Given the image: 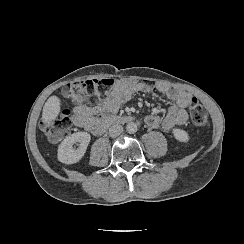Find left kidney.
I'll list each match as a JSON object with an SVG mask.
<instances>
[{
  "label": "left kidney",
  "instance_id": "left-kidney-1",
  "mask_svg": "<svg viewBox=\"0 0 244 244\" xmlns=\"http://www.w3.org/2000/svg\"><path fill=\"white\" fill-rule=\"evenodd\" d=\"M173 135L174 137L180 141V142H188L189 140V136H188V133L184 130H181V129H173Z\"/></svg>",
  "mask_w": 244,
  "mask_h": 244
}]
</instances>
